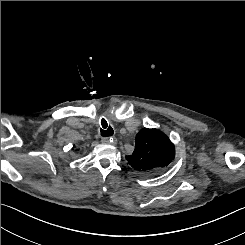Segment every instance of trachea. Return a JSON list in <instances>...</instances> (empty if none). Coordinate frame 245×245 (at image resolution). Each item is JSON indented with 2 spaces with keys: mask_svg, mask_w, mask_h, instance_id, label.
Segmentation results:
<instances>
[{
  "mask_svg": "<svg viewBox=\"0 0 245 245\" xmlns=\"http://www.w3.org/2000/svg\"><path fill=\"white\" fill-rule=\"evenodd\" d=\"M100 133L104 137H110L114 133L113 128L108 125L107 121L104 118L101 119Z\"/></svg>",
  "mask_w": 245,
  "mask_h": 245,
  "instance_id": "trachea-1",
  "label": "trachea"
}]
</instances>
